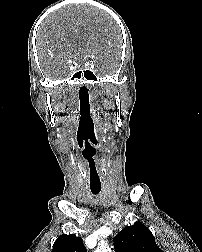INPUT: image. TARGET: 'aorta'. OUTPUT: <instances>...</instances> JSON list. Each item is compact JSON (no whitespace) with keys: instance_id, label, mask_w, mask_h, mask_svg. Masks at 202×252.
I'll return each instance as SVG.
<instances>
[{"instance_id":"obj_1","label":"aorta","mask_w":202,"mask_h":252,"mask_svg":"<svg viewBox=\"0 0 202 252\" xmlns=\"http://www.w3.org/2000/svg\"><path fill=\"white\" fill-rule=\"evenodd\" d=\"M94 252H111V249L106 244H99Z\"/></svg>"}]
</instances>
